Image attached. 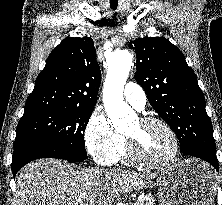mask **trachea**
Listing matches in <instances>:
<instances>
[{
  "mask_svg": "<svg viewBox=\"0 0 222 205\" xmlns=\"http://www.w3.org/2000/svg\"><path fill=\"white\" fill-rule=\"evenodd\" d=\"M111 8H112L113 10H115V9H117V6H111Z\"/></svg>",
  "mask_w": 222,
  "mask_h": 205,
  "instance_id": "trachea-1",
  "label": "trachea"
}]
</instances>
